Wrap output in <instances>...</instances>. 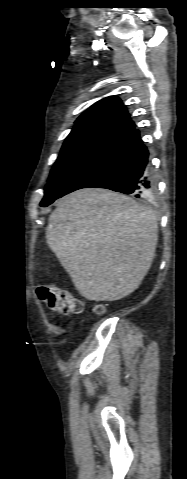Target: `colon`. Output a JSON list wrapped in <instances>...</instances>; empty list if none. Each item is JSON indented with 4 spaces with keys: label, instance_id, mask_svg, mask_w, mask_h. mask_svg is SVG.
Segmentation results:
<instances>
[{
    "label": "colon",
    "instance_id": "1",
    "mask_svg": "<svg viewBox=\"0 0 187 479\" xmlns=\"http://www.w3.org/2000/svg\"><path fill=\"white\" fill-rule=\"evenodd\" d=\"M37 295L49 308L63 315H79L84 308L83 301L74 297L68 289H60L53 285H40L37 287ZM96 311L102 313L103 308L98 306Z\"/></svg>",
    "mask_w": 187,
    "mask_h": 479
}]
</instances>
